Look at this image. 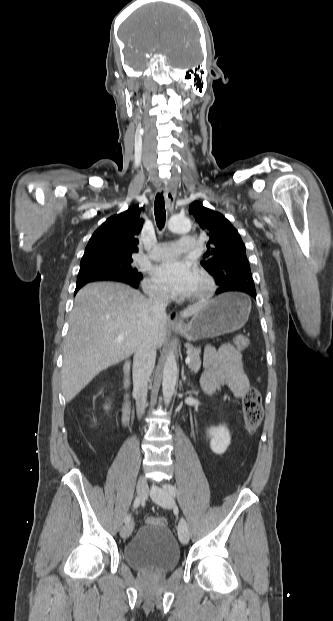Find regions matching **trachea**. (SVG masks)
I'll use <instances>...</instances> for the list:
<instances>
[{
  "label": "trachea",
  "mask_w": 333,
  "mask_h": 621,
  "mask_svg": "<svg viewBox=\"0 0 333 621\" xmlns=\"http://www.w3.org/2000/svg\"><path fill=\"white\" fill-rule=\"evenodd\" d=\"M154 214L157 223V227L162 229L165 225L166 211L164 197L162 193H157L154 202Z\"/></svg>",
  "instance_id": "trachea-1"
}]
</instances>
